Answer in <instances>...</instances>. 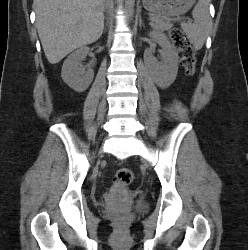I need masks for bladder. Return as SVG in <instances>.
Listing matches in <instances>:
<instances>
[{
  "label": "bladder",
  "instance_id": "obj_1",
  "mask_svg": "<svg viewBox=\"0 0 248 250\" xmlns=\"http://www.w3.org/2000/svg\"><path fill=\"white\" fill-rule=\"evenodd\" d=\"M133 207L136 209H143L145 207L142 199H136L133 201Z\"/></svg>",
  "mask_w": 248,
  "mask_h": 250
}]
</instances>
